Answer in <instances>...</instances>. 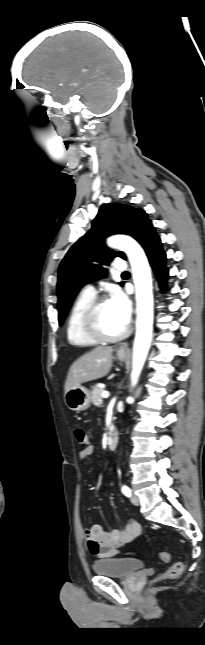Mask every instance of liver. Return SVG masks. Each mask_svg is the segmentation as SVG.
Returning a JSON list of instances; mask_svg holds the SVG:
<instances>
[{"mask_svg": "<svg viewBox=\"0 0 205 645\" xmlns=\"http://www.w3.org/2000/svg\"><path fill=\"white\" fill-rule=\"evenodd\" d=\"M111 346H98L78 358L70 367L65 382V392L82 383L106 376L112 367Z\"/></svg>", "mask_w": 205, "mask_h": 645, "instance_id": "1", "label": "liver"}]
</instances>
